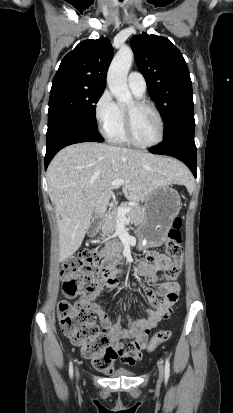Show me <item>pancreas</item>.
Returning <instances> with one entry per match:
<instances>
[{
    "mask_svg": "<svg viewBox=\"0 0 233 413\" xmlns=\"http://www.w3.org/2000/svg\"><path fill=\"white\" fill-rule=\"evenodd\" d=\"M120 207L123 209H130V211L126 213L125 217L131 224H139L142 222L144 213L139 205L121 204ZM118 219L117 210L111 212V214L103 218L100 226L102 231L101 235L103 238L110 237V235L114 234Z\"/></svg>",
    "mask_w": 233,
    "mask_h": 413,
    "instance_id": "1",
    "label": "pancreas"
}]
</instances>
